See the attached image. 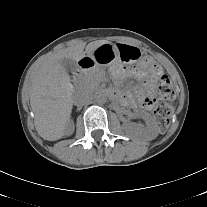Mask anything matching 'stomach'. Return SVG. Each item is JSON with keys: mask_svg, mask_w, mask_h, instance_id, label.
<instances>
[{"mask_svg": "<svg viewBox=\"0 0 207 207\" xmlns=\"http://www.w3.org/2000/svg\"><path fill=\"white\" fill-rule=\"evenodd\" d=\"M95 65L109 67L114 64H135L145 59L136 47L119 43H105L88 56Z\"/></svg>", "mask_w": 207, "mask_h": 207, "instance_id": "obj_1", "label": "stomach"}]
</instances>
